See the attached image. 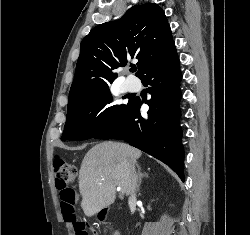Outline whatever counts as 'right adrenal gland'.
<instances>
[{"instance_id":"right-adrenal-gland-1","label":"right adrenal gland","mask_w":250,"mask_h":235,"mask_svg":"<svg viewBox=\"0 0 250 235\" xmlns=\"http://www.w3.org/2000/svg\"><path fill=\"white\" fill-rule=\"evenodd\" d=\"M137 168H138V172H137V175H138L137 192H139L140 191L141 182H142V178L148 177V173H146V172L142 173L141 167L139 165H137Z\"/></svg>"}]
</instances>
